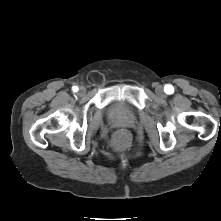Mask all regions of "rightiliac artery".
I'll list each match as a JSON object with an SVG mask.
<instances>
[{
    "instance_id": "obj_1",
    "label": "right iliac artery",
    "mask_w": 221,
    "mask_h": 221,
    "mask_svg": "<svg viewBox=\"0 0 221 221\" xmlns=\"http://www.w3.org/2000/svg\"><path fill=\"white\" fill-rule=\"evenodd\" d=\"M73 91L77 92L78 91V87L77 86H73Z\"/></svg>"
}]
</instances>
